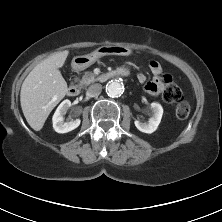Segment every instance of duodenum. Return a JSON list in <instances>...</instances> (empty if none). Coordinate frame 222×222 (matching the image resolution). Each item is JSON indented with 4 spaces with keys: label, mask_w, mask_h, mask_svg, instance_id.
<instances>
[{
    "label": "duodenum",
    "mask_w": 222,
    "mask_h": 222,
    "mask_svg": "<svg viewBox=\"0 0 222 222\" xmlns=\"http://www.w3.org/2000/svg\"><path fill=\"white\" fill-rule=\"evenodd\" d=\"M127 74H128V71L124 68H121V69H117L112 72L103 74L102 79L106 80L113 77H122V76H126ZM68 94L72 97L77 96L79 94V88L76 85H71L68 88Z\"/></svg>",
    "instance_id": "duodenum-1"
}]
</instances>
